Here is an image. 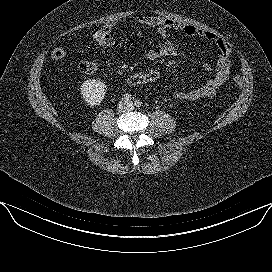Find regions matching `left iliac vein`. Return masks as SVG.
Returning <instances> with one entry per match:
<instances>
[{
  "mask_svg": "<svg viewBox=\"0 0 272 272\" xmlns=\"http://www.w3.org/2000/svg\"><path fill=\"white\" fill-rule=\"evenodd\" d=\"M127 105H128V109H132L133 108V103L132 102L127 103Z\"/></svg>",
  "mask_w": 272,
  "mask_h": 272,
  "instance_id": "obj_1",
  "label": "left iliac vein"
}]
</instances>
